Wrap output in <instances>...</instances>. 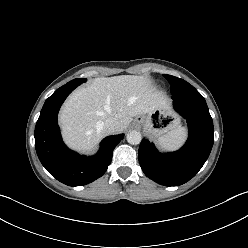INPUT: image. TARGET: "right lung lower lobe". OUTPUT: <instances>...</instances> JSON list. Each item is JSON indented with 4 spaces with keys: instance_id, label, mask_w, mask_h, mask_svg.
Here are the masks:
<instances>
[{
    "instance_id": "right-lung-lower-lobe-1",
    "label": "right lung lower lobe",
    "mask_w": 248,
    "mask_h": 248,
    "mask_svg": "<svg viewBox=\"0 0 248 248\" xmlns=\"http://www.w3.org/2000/svg\"><path fill=\"white\" fill-rule=\"evenodd\" d=\"M81 83L69 82L57 89L44 103L35 127V147L39 160L58 181L69 185H86L107 170L113 149L124 134L108 136L99 152L90 157L79 155L65 146L57 124L59 109L66 97Z\"/></svg>"
}]
</instances>
